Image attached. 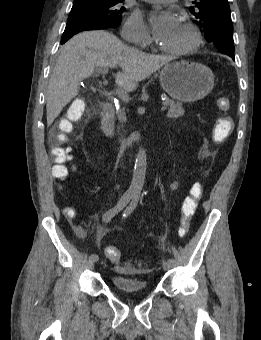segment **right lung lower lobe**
Listing matches in <instances>:
<instances>
[{
  "label": "right lung lower lobe",
  "instance_id": "1",
  "mask_svg": "<svg viewBox=\"0 0 261 340\" xmlns=\"http://www.w3.org/2000/svg\"><path fill=\"white\" fill-rule=\"evenodd\" d=\"M110 28L95 18L86 15H73L68 17L67 25L61 38V44H64L73 35L86 30H100Z\"/></svg>",
  "mask_w": 261,
  "mask_h": 340
}]
</instances>
